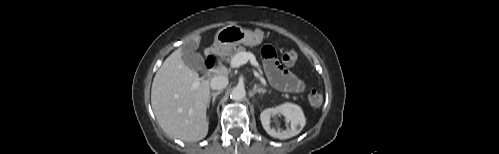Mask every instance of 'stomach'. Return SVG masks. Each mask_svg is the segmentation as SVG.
Returning <instances> with one entry per match:
<instances>
[{
	"instance_id": "1",
	"label": "stomach",
	"mask_w": 499,
	"mask_h": 154,
	"mask_svg": "<svg viewBox=\"0 0 499 154\" xmlns=\"http://www.w3.org/2000/svg\"><path fill=\"white\" fill-rule=\"evenodd\" d=\"M263 32L243 29L238 25H228L220 29L214 39V46L219 50H228L239 44L254 47L263 41Z\"/></svg>"
}]
</instances>
